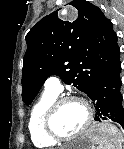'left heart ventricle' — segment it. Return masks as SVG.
I'll use <instances>...</instances> for the list:
<instances>
[{"instance_id":"obj_1","label":"left heart ventricle","mask_w":124,"mask_h":149,"mask_svg":"<svg viewBox=\"0 0 124 149\" xmlns=\"http://www.w3.org/2000/svg\"><path fill=\"white\" fill-rule=\"evenodd\" d=\"M87 117L86 107L78 101L64 103L58 110L54 127L62 135L77 132L84 125Z\"/></svg>"}]
</instances>
